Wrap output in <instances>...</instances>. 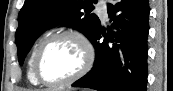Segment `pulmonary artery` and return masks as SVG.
Here are the masks:
<instances>
[{
	"instance_id": "e3ab8cb5",
	"label": "pulmonary artery",
	"mask_w": 173,
	"mask_h": 91,
	"mask_svg": "<svg viewBox=\"0 0 173 91\" xmlns=\"http://www.w3.org/2000/svg\"><path fill=\"white\" fill-rule=\"evenodd\" d=\"M97 10L103 19H107V9L104 4V1H99Z\"/></svg>"
}]
</instances>
